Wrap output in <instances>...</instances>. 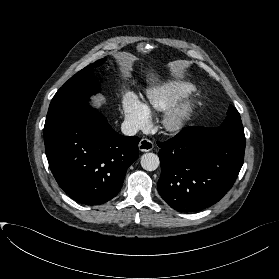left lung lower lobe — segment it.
Listing matches in <instances>:
<instances>
[{"mask_svg":"<svg viewBox=\"0 0 279 279\" xmlns=\"http://www.w3.org/2000/svg\"><path fill=\"white\" fill-rule=\"evenodd\" d=\"M158 146L161 197L177 211L195 212L217 203L233 186L244 160L245 136L194 126Z\"/></svg>","mask_w":279,"mask_h":279,"instance_id":"1","label":"left lung lower lobe"}]
</instances>
